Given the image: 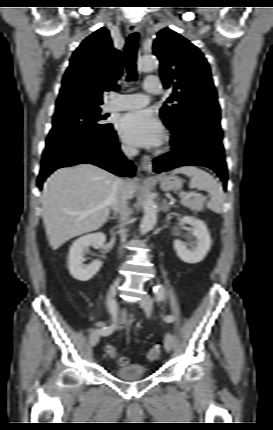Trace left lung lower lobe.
Listing matches in <instances>:
<instances>
[{
    "label": "left lung lower lobe",
    "mask_w": 273,
    "mask_h": 430,
    "mask_svg": "<svg viewBox=\"0 0 273 430\" xmlns=\"http://www.w3.org/2000/svg\"><path fill=\"white\" fill-rule=\"evenodd\" d=\"M171 131L172 151L154 159V172L160 173L184 165H201L214 170L226 189L227 166L221 143L220 120L215 116L202 115L181 131Z\"/></svg>",
    "instance_id": "left-lung-lower-lobe-1"
}]
</instances>
